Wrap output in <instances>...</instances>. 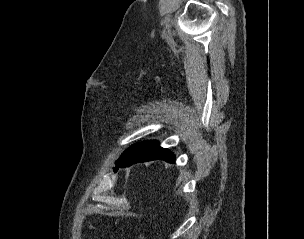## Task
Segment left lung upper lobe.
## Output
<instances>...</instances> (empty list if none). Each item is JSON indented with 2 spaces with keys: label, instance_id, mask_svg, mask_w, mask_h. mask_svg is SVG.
<instances>
[{
  "label": "left lung upper lobe",
  "instance_id": "obj_1",
  "mask_svg": "<svg viewBox=\"0 0 304 239\" xmlns=\"http://www.w3.org/2000/svg\"><path fill=\"white\" fill-rule=\"evenodd\" d=\"M135 145H133V146H131L129 149H127L123 154H122V156L119 158V160L117 161V165H118V162L134 147ZM114 169H116V168H114Z\"/></svg>",
  "mask_w": 304,
  "mask_h": 239
}]
</instances>
